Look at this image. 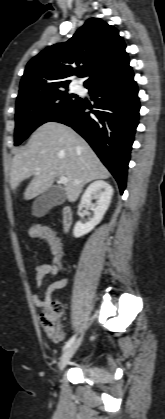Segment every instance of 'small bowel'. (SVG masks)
Returning a JSON list of instances; mask_svg holds the SVG:
<instances>
[{"instance_id": "small-bowel-1", "label": "small bowel", "mask_w": 165, "mask_h": 419, "mask_svg": "<svg viewBox=\"0 0 165 419\" xmlns=\"http://www.w3.org/2000/svg\"><path fill=\"white\" fill-rule=\"evenodd\" d=\"M34 227H42V226H34ZM45 241L44 239H40ZM60 268L56 263H46V264H37L35 266V288L39 289L45 283L47 279L53 277L58 274ZM68 284V277L64 276L63 278L52 282L46 289L45 297L41 298L39 295H34L33 300L35 305L38 308L45 307L49 300L50 295L59 289L64 288Z\"/></svg>"}]
</instances>
